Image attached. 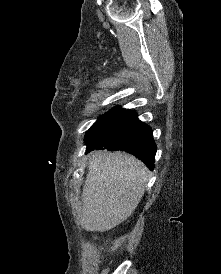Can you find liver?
Listing matches in <instances>:
<instances>
[{"instance_id":"1","label":"liver","mask_w":221,"mask_h":274,"mask_svg":"<svg viewBox=\"0 0 221 274\" xmlns=\"http://www.w3.org/2000/svg\"><path fill=\"white\" fill-rule=\"evenodd\" d=\"M148 178L147 167L127 153H93L77 211L81 227L105 231L125 221L141 201Z\"/></svg>"}]
</instances>
